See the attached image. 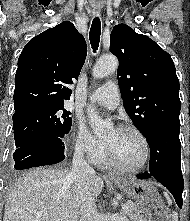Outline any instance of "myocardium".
<instances>
[{"label": "myocardium", "instance_id": "myocardium-1", "mask_svg": "<svg viewBox=\"0 0 190 221\" xmlns=\"http://www.w3.org/2000/svg\"><path fill=\"white\" fill-rule=\"evenodd\" d=\"M116 129L122 130V131L134 132L141 139L143 146H144V158H143L142 163L138 166H135V167L126 166L121 161L118 160V158L115 156V154L113 153L111 148L108 146V144L103 142L104 152H105L107 159L113 166H115L116 168L122 171L129 172V173H137V172L143 171L147 167L150 161V156H151L150 143L146 135L139 128L131 124H121L117 126Z\"/></svg>", "mask_w": 190, "mask_h": 221}]
</instances>
